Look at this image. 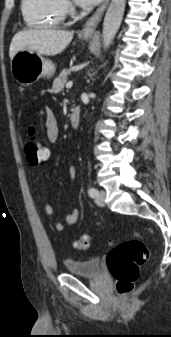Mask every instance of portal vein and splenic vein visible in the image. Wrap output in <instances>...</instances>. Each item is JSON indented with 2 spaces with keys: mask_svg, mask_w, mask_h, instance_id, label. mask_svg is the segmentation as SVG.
<instances>
[{
  "mask_svg": "<svg viewBox=\"0 0 171 337\" xmlns=\"http://www.w3.org/2000/svg\"><path fill=\"white\" fill-rule=\"evenodd\" d=\"M73 85V82L72 81H69L67 84H66V88H71Z\"/></svg>",
  "mask_w": 171,
  "mask_h": 337,
  "instance_id": "portal-vein-and-splenic-vein-1",
  "label": "portal vein and splenic vein"
}]
</instances>
